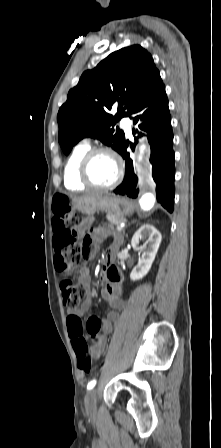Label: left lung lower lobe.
<instances>
[{
  "mask_svg": "<svg viewBox=\"0 0 221 448\" xmlns=\"http://www.w3.org/2000/svg\"><path fill=\"white\" fill-rule=\"evenodd\" d=\"M138 112H143V114L133 118V122L136 124L139 119L143 120L139 128L147 132L151 146L150 163L152 164V176L156 183L157 201L169 212H172L174 209L175 168L173 132L165 86L148 97ZM135 132L138 131L133 129V134ZM140 136H142L141 133H139ZM135 140L137 142L138 137ZM127 146L128 142H125L120 151L126 161L125 178L121 185L114 190V193L136 198L139 192L136 189L137 176L134 174L133 162L129 153L126 152Z\"/></svg>",
  "mask_w": 221,
  "mask_h": 448,
  "instance_id": "1",
  "label": "left lung lower lobe"
}]
</instances>
